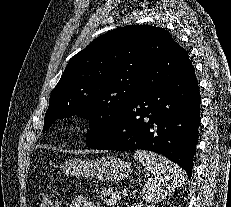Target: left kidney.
I'll return each mask as SVG.
<instances>
[{"mask_svg": "<svg viewBox=\"0 0 231 207\" xmlns=\"http://www.w3.org/2000/svg\"><path fill=\"white\" fill-rule=\"evenodd\" d=\"M130 207H153L151 205H148V204H133L131 205Z\"/></svg>", "mask_w": 231, "mask_h": 207, "instance_id": "obj_1", "label": "left kidney"}]
</instances>
